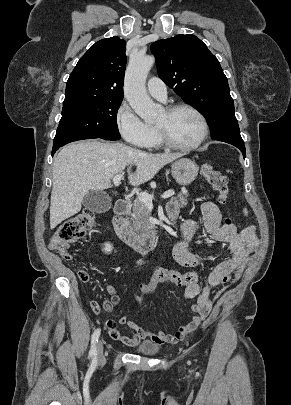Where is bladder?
Listing matches in <instances>:
<instances>
[{"mask_svg": "<svg viewBox=\"0 0 291 405\" xmlns=\"http://www.w3.org/2000/svg\"><path fill=\"white\" fill-rule=\"evenodd\" d=\"M137 350L144 355H155L159 351V346L152 341H144L138 345Z\"/></svg>", "mask_w": 291, "mask_h": 405, "instance_id": "bladder-1", "label": "bladder"}]
</instances>
